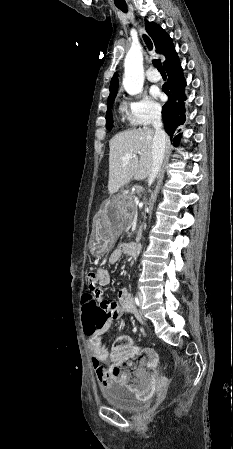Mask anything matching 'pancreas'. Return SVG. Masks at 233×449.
<instances>
[{"mask_svg":"<svg viewBox=\"0 0 233 449\" xmlns=\"http://www.w3.org/2000/svg\"><path fill=\"white\" fill-rule=\"evenodd\" d=\"M119 210L120 214L124 218H129L134 215L136 206L133 197L131 195L128 194L121 196V201L119 202ZM129 211H131V213Z\"/></svg>","mask_w":233,"mask_h":449,"instance_id":"pancreas-1","label":"pancreas"}]
</instances>
